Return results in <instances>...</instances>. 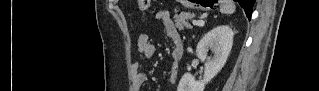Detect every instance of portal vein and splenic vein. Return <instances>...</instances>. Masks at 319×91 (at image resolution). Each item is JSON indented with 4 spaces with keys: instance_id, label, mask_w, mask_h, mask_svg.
Segmentation results:
<instances>
[{
    "instance_id": "portal-vein-and-splenic-vein-1",
    "label": "portal vein and splenic vein",
    "mask_w": 319,
    "mask_h": 91,
    "mask_svg": "<svg viewBox=\"0 0 319 91\" xmlns=\"http://www.w3.org/2000/svg\"><path fill=\"white\" fill-rule=\"evenodd\" d=\"M192 23H193V25L200 26V27L204 26V24H205V22L201 21V20H199V21L193 20Z\"/></svg>"
}]
</instances>
